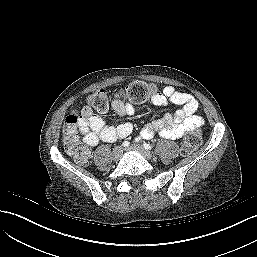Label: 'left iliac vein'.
<instances>
[{
    "label": "left iliac vein",
    "mask_w": 257,
    "mask_h": 257,
    "mask_svg": "<svg viewBox=\"0 0 257 257\" xmlns=\"http://www.w3.org/2000/svg\"><path fill=\"white\" fill-rule=\"evenodd\" d=\"M126 151H130V150H133V151H136V152H139L140 154H142L145 158L147 159H151L152 158V154L145 150L144 148H142L141 146L139 145H133L129 148H125Z\"/></svg>",
    "instance_id": "1"
}]
</instances>
